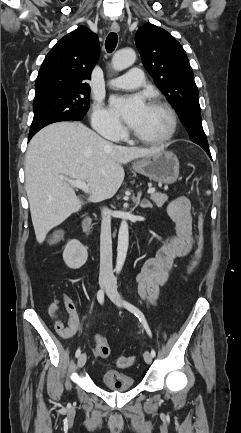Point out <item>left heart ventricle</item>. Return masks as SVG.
I'll use <instances>...</instances> for the list:
<instances>
[{"label": "left heart ventricle", "mask_w": 241, "mask_h": 433, "mask_svg": "<svg viewBox=\"0 0 241 433\" xmlns=\"http://www.w3.org/2000/svg\"><path fill=\"white\" fill-rule=\"evenodd\" d=\"M170 128V118L161 108L148 106L147 111L134 131L148 138H159Z\"/></svg>", "instance_id": "b2bd125f"}]
</instances>
